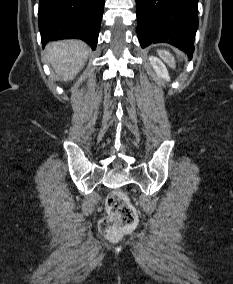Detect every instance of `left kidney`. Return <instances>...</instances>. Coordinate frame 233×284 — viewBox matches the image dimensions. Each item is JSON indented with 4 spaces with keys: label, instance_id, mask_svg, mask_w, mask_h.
Listing matches in <instances>:
<instances>
[{
    "label": "left kidney",
    "instance_id": "5707ae66",
    "mask_svg": "<svg viewBox=\"0 0 233 284\" xmlns=\"http://www.w3.org/2000/svg\"><path fill=\"white\" fill-rule=\"evenodd\" d=\"M150 64L152 65L153 69L155 70L156 74L165 79L166 81L170 80L168 71L164 65V63L157 57L150 56L149 57Z\"/></svg>",
    "mask_w": 233,
    "mask_h": 284
}]
</instances>
